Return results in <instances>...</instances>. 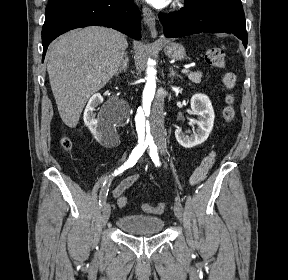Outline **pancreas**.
Segmentation results:
<instances>
[{"label": "pancreas", "mask_w": 288, "mask_h": 280, "mask_svg": "<svg viewBox=\"0 0 288 280\" xmlns=\"http://www.w3.org/2000/svg\"><path fill=\"white\" fill-rule=\"evenodd\" d=\"M202 73L200 71L197 72H190L188 74L189 80L193 83L199 84L201 82Z\"/></svg>", "instance_id": "obj_1"}]
</instances>
